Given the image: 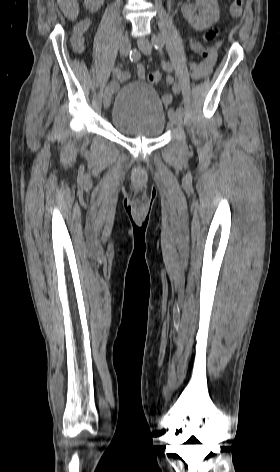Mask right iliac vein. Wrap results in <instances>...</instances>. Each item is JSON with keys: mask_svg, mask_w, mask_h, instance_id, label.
I'll return each mask as SVG.
<instances>
[{"mask_svg": "<svg viewBox=\"0 0 280 472\" xmlns=\"http://www.w3.org/2000/svg\"><path fill=\"white\" fill-rule=\"evenodd\" d=\"M130 49H131V44H130L129 39L126 37H123L119 43L120 54L122 56H126L129 54ZM111 99H112V85L108 84L105 88L104 96H103L104 108L107 109L110 106Z\"/></svg>", "mask_w": 280, "mask_h": 472, "instance_id": "obj_1", "label": "right iliac vein"}]
</instances>
